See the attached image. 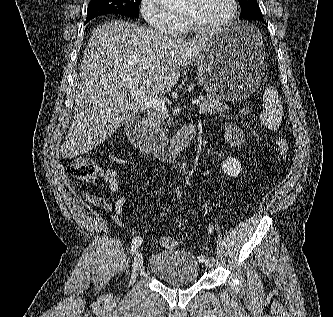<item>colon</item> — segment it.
Listing matches in <instances>:
<instances>
[{"instance_id": "obj_1", "label": "colon", "mask_w": 333, "mask_h": 317, "mask_svg": "<svg viewBox=\"0 0 333 317\" xmlns=\"http://www.w3.org/2000/svg\"><path fill=\"white\" fill-rule=\"evenodd\" d=\"M243 116H249L251 110L243 108L241 110ZM278 154L280 158L286 159L289 154V144L287 140L279 135L273 136ZM70 175L78 180L94 183L99 177V168L96 162L88 157H79L71 161L68 165ZM159 244L166 249H175L178 246V241L172 237H162L159 239Z\"/></svg>"}]
</instances>
